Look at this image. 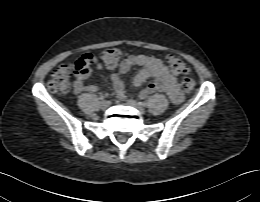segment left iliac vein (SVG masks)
<instances>
[{
  "mask_svg": "<svg viewBox=\"0 0 260 202\" xmlns=\"http://www.w3.org/2000/svg\"><path fill=\"white\" fill-rule=\"evenodd\" d=\"M127 104L132 106L133 108L137 109L141 113L145 112L144 107L134 100H127Z\"/></svg>",
  "mask_w": 260,
  "mask_h": 202,
  "instance_id": "1",
  "label": "left iliac vein"
}]
</instances>
